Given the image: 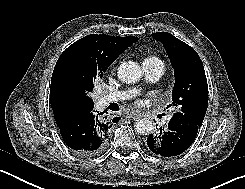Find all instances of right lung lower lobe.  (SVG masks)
<instances>
[{
	"mask_svg": "<svg viewBox=\"0 0 245 189\" xmlns=\"http://www.w3.org/2000/svg\"><path fill=\"white\" fill-rule=\"evenodd\" d=\"M93 107L57 124L64 142L79 153L92 154L102 150L114 123L121 118L101 119Z\"/></svg>",
	"mask_w": 245,
	"mask_h": 189,
	"instance_id": "obj_1",
	"label": "right lung lower lobe"
}]
</instances>
